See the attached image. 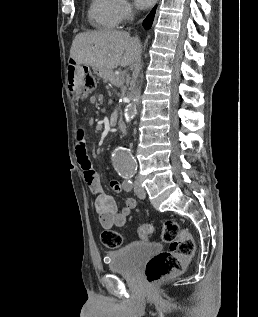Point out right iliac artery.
I'll use <instances>...</instances> for the list:
<instances>
[{
	"label": "right iliac artery",
	"instance_id": "obj_1",
	"mask_svg": "<svg viewBox=\"0 0 258 317\" xmlns=\"http://www.w3.org/2000/svg\"><path fill=\"white\" fill-rule=\"evenodd\" d=\"M123 188L126 192H130L132 190V182L130 179L126 178L123 182Z\"/></svg>",
	"mask_w": 258,
	"mask_h": 317
}]
</instances>
